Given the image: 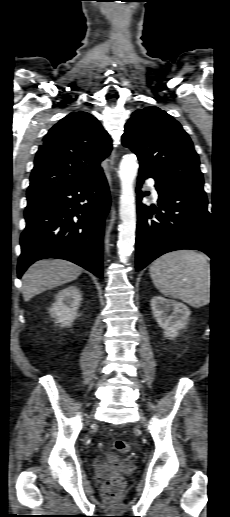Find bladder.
I'll return each instance as SVG.
<instances>
[{
  "label": "bladder",
  "mask_w": 230,
  "mask_h": 517,
  "mask_svg": "<svg viewBox=\"0 0 230 517\" xmlns=\"http://www.w3.org/2000/svg\"><path fill=\"white\" fill-rule=\"evenodd\" d=\"M107 459H108V461H111V462H117V461H119V460H120V457H119V456H117V455H109V456L107 457Z\"/></svg>",
  "instance_id": "1"
}]
</instances>
